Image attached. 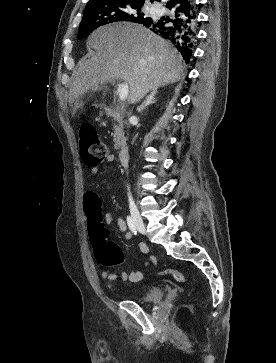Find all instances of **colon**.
Returning a JSON list of instances; mask_svg holds the SVG:
<instances>
[{
	"mask_svg": "<svg viewBox=\"0 0 276 363\" xmlns=\"http://www.w3.org/2000/svg\"><path fill=\"white\" fill-rule=\"evenodd\" d=\"M80 138V151L83 161L87 165L100 164L106 158L107 149L94 127L91 125L83 126L80 129ZM86 212L90 237L94 246V255L97 261L104 266H115L122 263L124 260L123 253L117 244L107 240L108 231L98 217L97 210L88 208ZM165 273L179 282L185 281L184 274L178 270L168 269Z\"/></svg>",
	"mask_w": 276,
	"mask_h": 363,
	"instance_id": "1",
	"label": "colon"
}]
</instances>
